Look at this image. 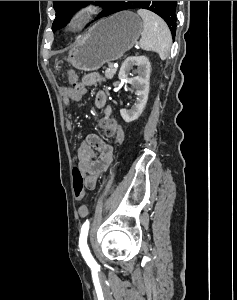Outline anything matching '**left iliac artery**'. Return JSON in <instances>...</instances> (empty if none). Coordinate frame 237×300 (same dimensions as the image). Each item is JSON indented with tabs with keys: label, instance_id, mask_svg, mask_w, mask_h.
<instances>
[{
	"label": "left iliac artery",
	"instance_id": "1",
	"mask_svg": "<svg viewBox=\"0 0 237 300\" xmlns=\"http://www.w3.org/2000/svg\"><path fill=\"white\" fill-rule=\"evenodd\" d=\"M89 230V221L87 220L81 228V233L79 237V248L83 258L85 259L86 263L89 267H96L97 263L94 260L93 256L90 253L89 247L87 245V236Z\"/></svg>",
	"mask_w": 237,
	"mask_h": 300
}]
</instances>
